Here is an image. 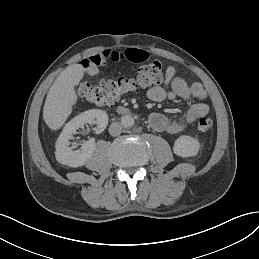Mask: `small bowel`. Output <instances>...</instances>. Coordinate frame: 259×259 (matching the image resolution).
<instances>
[{
  "instance_id": "c3829d8e",
  "label": "small bowel",
  "mask_w": 259,
  "mask_h": 259,
  "mask_svg": "<svg viewBox=\"0 0 259 259\" xmlns=\"http://www.w3.org/2000/svg\"><path fill=\"white\" fill-rule=\"evenodd\" d=\"M148 58L149 53L144 50L127 48L122 51L105 50L83 59L80 64L90 75H97L99 74V67L106 63L123 60L144 62ZM148 97L156 102L165 99L198 100V102L190 106L181 117L171 118L162 113H151L149 116V124L152 129L158 132L168 134L179 133L198 118L206 116L209 111L208 105L204 103L207 97V92L204 87L200 83L188 84L183 78L176 75V69L173 66L166 68L162 86H154L148 90Z\"/></svg>"
}]
</instances>
